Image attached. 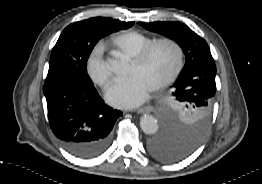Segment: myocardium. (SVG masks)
Wrapping results in <instances>:
<instances>
[{
    "mask_svg": "<svg viewBox=\"0 0 262 184\" xmlns=\"http://www.w3.org/2000/svg\"><path fill=\"white\" fill-rule=\"evenodd\" d=\"M162 44L171 45L176 49V51H177V62H176L175 67L171 71V73L165 79H163L161 82H159L158 84H156L153 87L154 91H159V90H162V89L166 88L167 86H169L171 83H173L177 79L180 72L182 71L183 66H184V61H185V51H184L182 44L179 41H177L173 38L157 39L154 42H152L151 44H149L148 46H146L143 50H141L133 58L134 63H136L138 65L143 64L150 57L152 52L158 46H160Z\"/></svg>",
    "mask_w": 262,
    "mask_h": 184,
    "instance_id": "obj_1",
    "label": "myocardium"
}]
</instances>
